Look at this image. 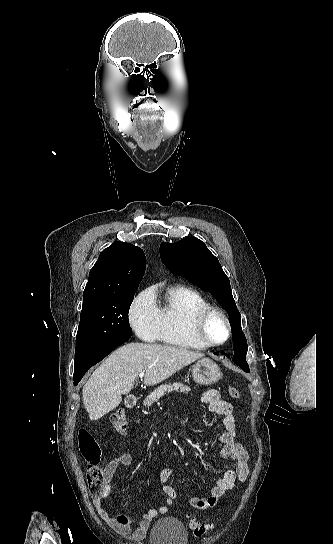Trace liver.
<instances>
[{
	"label": "liver",
	"instance_id": "6515ba94",
	"mask_svg": "<svg viewBox=\"0 0 333 544\" xmlns=\"http://www.w3.org/2000/svg\"><path fill=\"white\" fill-rule=\"evenodd\" d=\"M204 354L167 345L129 343L114 352L93 372L83 387V404L90 420L115 409L142 371L144 384L156 385Z\"/></svg>",
	"mask_w": 333,
	"mask_h": 544
}]
</instances>
